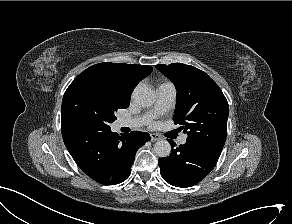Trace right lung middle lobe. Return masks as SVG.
<instances>
[{
  "label": "right lung middle lobe",
  "instance_id": "right-lung-middle-lobe-1",
  "mask_svg": "<svg viewBox=\"0 0 292 224\" xmlns=\"http://www.w3.org/2000/svg\"><path fill=\"white\" fill-rule=\"evenodd\" d=\"M129 106L99 70H84L67 88L61 107V124L108 130L119 109Z\"/></svg>",
  "mask_w": 292,
  "mask_h": 224
}]
</instances>
